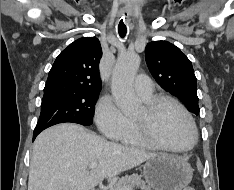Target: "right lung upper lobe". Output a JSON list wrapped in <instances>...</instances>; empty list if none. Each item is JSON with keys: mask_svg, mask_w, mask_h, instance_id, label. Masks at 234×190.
Listing matches in <instances>:
<instances>
[{"mask_svg": "<svg viewBox=\"0 0 234 190\" xmlns=\"http://www.w3.org/2000/svg\"><path fill=\"white\" fill-rule=\"evenodd\" d=\"M102 49L95 37H83L65 48L49 72L45 88L101 90L99 62Z\"/></svg>", "mask_w": 234, "mask_h": 190, "instance_id": "1", "label": "right lung upper lobe"}]
</instances>
